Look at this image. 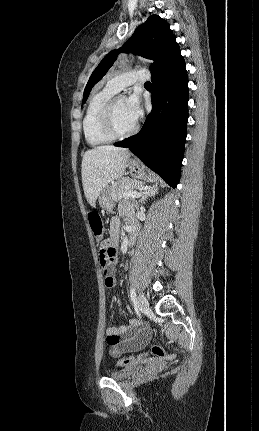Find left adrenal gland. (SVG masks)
<instances>
[{
  "mask_svg": "<svg viewBox=\"0 0 259 431\" xmlns=\"http://www.w3.org/2000/svg\"><path fill=\"white\" fill-rule=\"evenodd\" d=\"M158 192V185H153L152 187H149L148 189L145 190L143 196L141 197V199L139 200V203H144V201L147 199L148 196H152L157 194Z\"/></svg>",
  "mask_w": 259,
  "mask_h": 431,
  "instance_id": "obj_1",
  "label": "left adrenal gland"
}]
</instances>
